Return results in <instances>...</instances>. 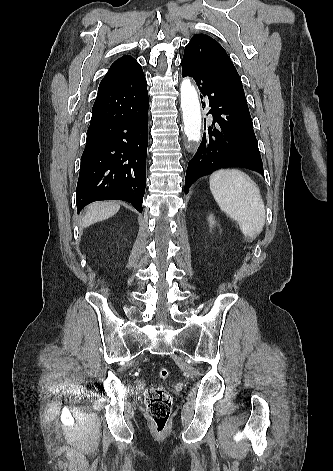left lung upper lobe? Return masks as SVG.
<instances>
[{
    "mask_svg": "<svg viewBox=\"0 0 333 471\" xmlns=\"http://www.w3.org/2000/svg\"><path fill=\"white\" fill-rule=\"evenodd\" d=\"M183 57L192 58L208 68L248 109L241 78L224 48L208 35L196 34L185 47Z\"/></svg>",
    "mask_w": 333,
    "mask_h": 471,
    "instance_id": "1",
    "label": "left lung upper lobe"
}]
</instances>
